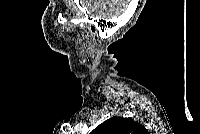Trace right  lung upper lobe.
Wrapping results in <instances>:
<instances>
[{
	"mask_svg": "<svg viewBox=\"0 0 200 134\" xmlns=\"http://www.w3.org/2000/svg\"><path fill=\"white\" fill-rule=\"evenodd\" d=\"M92 134H146L147 130L138 122L130 118L112 117L99 126Z\"/></svg>",
	"mask_w": 200,
	"mask_h": 134,
	"instance_id": "obj_1",
	"label": "right lung upper lobe"
}]
</instances>
